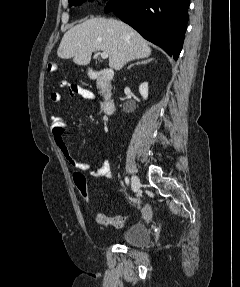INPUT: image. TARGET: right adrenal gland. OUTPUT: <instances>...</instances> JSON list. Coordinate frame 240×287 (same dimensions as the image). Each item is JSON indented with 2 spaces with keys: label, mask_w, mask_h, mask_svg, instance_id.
Listing matches in <instances>:
<instances>
[{
  "label": "right adrenal gland",
  "mask_w": 240,
  "mask_h": 287,
  "mask_svg": "<svg viewBox=\"0 0 240 287\" xmlns=\"http://www.w3.org/2000/svg\"><path fill=\"white\" fill-rule=\"evenodd\" d=\"M150 61H152V59H148V60H144V61H138V62H136V63H134V64H131V65H129L128 66V69H130L132 66H134L135 64H146V63H148V62H150Z\"/></svg>",
  "instance_id": "right-adrenal-gland-1"
}]
</instances>
